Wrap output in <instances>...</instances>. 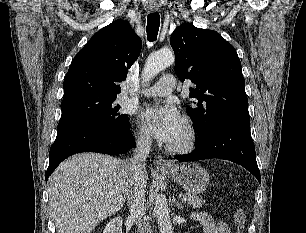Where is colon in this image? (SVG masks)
Masks as SVG:
<instances>
[{
  "label": "colon",
  "instance_id": "colon-1",
  "mask_svg": "<svg viewBox=\"0 0 306 233\" xmlns=\"http://www.w3.org/2000/svg\"><path fill=\"white\" fill-rule=\"evenodd\" d=\"M246 222V211L243 208H238L234 213V223L236 233H243Z\"/></svg>",
  "mask_w": 306,
  "mask_h": 233
}]
</instances>
